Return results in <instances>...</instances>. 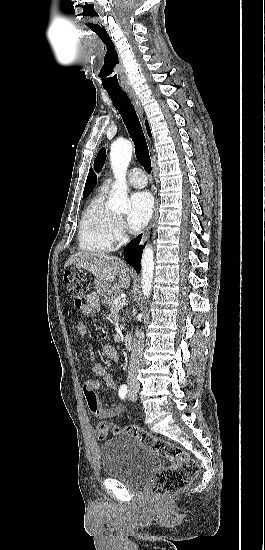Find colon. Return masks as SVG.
<instances>
[{
    "label": "colon",
    "mask_w": 265,
    "mask_h": 550,
    "mask_svg": "<svg viewBox=\"0 0 265 550\" xmlns=\"http://www.w3.org/2000/svg\"><path fill=\"white\" fill-rule=\"evenodd\" d=\"M64 282L68 293L74 298L73 310L81 312L82 299L91 293L88 281L79 274L67 272ZM96 433L99 439H105L110 433L133 436L171 463V466L160 470L152 482L151 493L156 498L169 496L184 489L199 473L198 462L189 454L137 426L128 425L120 428L108 420H101L97 423Z\"/></svg>",
    "instance_id": "1"
}]
</instances>
